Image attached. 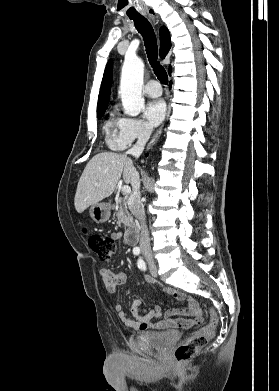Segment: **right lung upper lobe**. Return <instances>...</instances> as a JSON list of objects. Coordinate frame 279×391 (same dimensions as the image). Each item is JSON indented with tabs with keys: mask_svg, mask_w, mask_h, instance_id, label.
<instances>
[{
	"mask_svg": "<svg viewBox=\"0 0 279 391\" xmlns=\"http://www.w3.org/2000/svg\"><path fill=\"white\" fill-rule=\"evenodd\" d=\"M171 48V40H170V34L166 27H161L160 29V57L165 58L167 53L169 52ZM171 71L169 70V73ZM111 81H112V61L110 60L107 63L102 85L99 93L98 98V106L97 111L106 109V105L110 98V88H111Z\"/></svg>",
	"mask_w": 279,
	"mask_h": 391,
	"instance_id": "cb5924a9",
	"label": "right lung upper lobe"
}]
</instances>
